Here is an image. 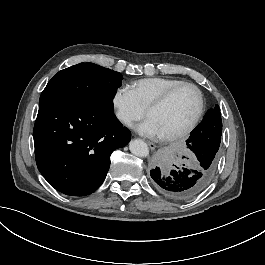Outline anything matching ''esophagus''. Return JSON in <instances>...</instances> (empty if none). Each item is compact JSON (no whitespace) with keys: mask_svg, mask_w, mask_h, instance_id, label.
Listing matches in <instances>:
<instances>
[{"mask_svg":"<svg viewBox=\"0 0 265 265\" xmlns=\"http://www.w3.org/2000/svg\"><path fill=\"white\" fill-rule=\"evenodd\" d=\"M146 143L148 144L150 150H155L156 145H155L154 143H152V142H150V141H146Z\"/></svg>","mask_w":265,"mask_h":265,"instance_id":"esophagus-1","label":"esophagus"}]
</instances>
